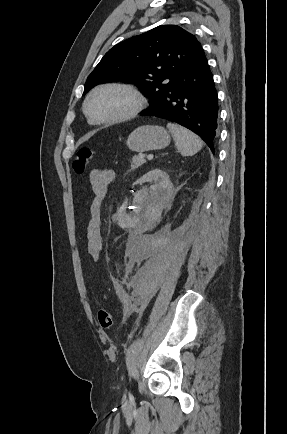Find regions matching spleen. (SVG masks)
<instances>
[{
  "label": "spleen",
  "instance_id": "1",
  "mask_svg": "<svg viewBox=\"0 0 287 434\" xmlns=\"http://www.w3.org/2000/svg\"><path fill=\"white\" fill-rule=\"evenodd\" d=\"M167 128L171 132L175 141V146L181 155L192 156L201 150L202 141L193 132L180 125L172 123H168Z\"/></svg>",
  "mask_w": 287,
  "mask_h": 434
}]
</instances>
